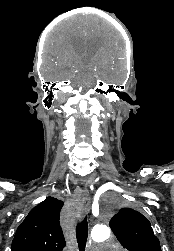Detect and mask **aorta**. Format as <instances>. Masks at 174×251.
Segmentation results:
<instances>
[{"label":"aorta","instance_id":"aorta-1","mask_svg":"<svg viewBox=\"0 0 174 251\" xmlns=\"http://www.w3.org/2000/svg\"><path fill=\"white\" fill-rule=\"evenodd\" d=\"M111 236V231L108 225L104 223L97 224L92 231V240L95 243H103Z\"/></svg>","mask_w":174,"mask_h":251}]
</instances>
